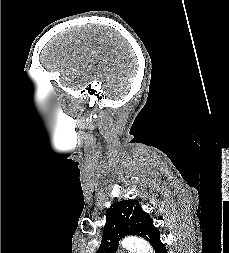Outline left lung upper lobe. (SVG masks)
Wrapping results in <instances>:
<instances>
[{"label": "left lung upper lobe", "mask_w": 229, "mask_h": 253, "mask_svg": "<svg viewBox=\"0 0 229 253\" xmlns=\"http://www.w3.org/2000/svg\"><path fill=\"white\" fill-rule=\"evenodd\" d=\"M126 235L141 236L152 247L160 240L152 218L143 211L137 200L115 202L106 211L102 241L96 253H116L119 240Z\"/></svg>", "instance_id": "5c2ea615"}]
</instances>
